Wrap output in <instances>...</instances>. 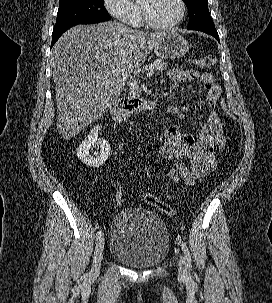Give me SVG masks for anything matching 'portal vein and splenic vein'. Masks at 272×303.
Listing matches in <instances>:
<instances>
[{
    "label": "portal vein and splenic vein",
    "instance_id": "18ae733b",
    "mask_svg": "<svg viewBox=\"0 0 272 303\" xmlns=\"http://www.w3.org/2000/svg\"><path fill=\"white\" fill-rule=\"evenodd\" d=\"M153 74H154V70L153 69H150L148 72H147V74H146V77H151V76H153ZM104 80H107V78H103ZM138 83V80H136V79H132V81H131V85H135V84H137Z\"/></svg>",
    "mask_w": 272,
    "mask_h": 303
}]
</instances>
